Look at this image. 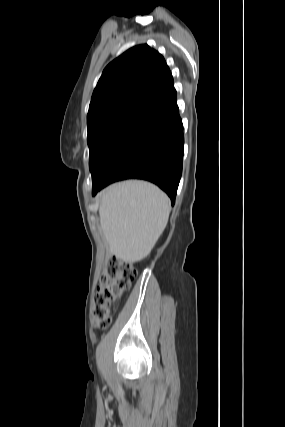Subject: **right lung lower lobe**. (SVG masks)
I'll return each mask as SVG.
<instances>
[{
	"label": "right lung lower lobe",
	"instance_id": "98d812e1",
	"mask_svg": "<svg viewBox=\"0 0 285 427\" xmlns=\"http://www.w3.org/2000/svg\"><path fill=\"white\" fill-rule=\"evenodd\" d=\"M183 125L174 87L149 105L92 178V194L123 179L158 185L174 205L182 174Z\"/></svg>",
	"mask_w": 285,
	"mask_h": 427
}]
</instances>
